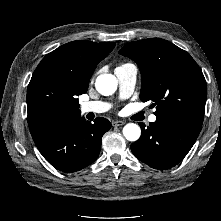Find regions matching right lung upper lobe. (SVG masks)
I'll list each match as a JSON object with an SVG mask.
<instances>
[{
    "mask_svg": "<svg viewBox=\"0 0 221 221\" xmlns=\"http://www.w3.org/2000/svg\"><path fill=\"white\" fill-rule=\"evenodd\" d=\"M114 42L72 41L47 54L37 66L27 92L30 132L65 117H79L77 97L86 93L96 65Z\"/></svg>",
    "mask_w": 221,
    "mask_h": 221,
    "instance_id": "obj_1",
    "label": "right lung upper lobe"
}]
</instances>
